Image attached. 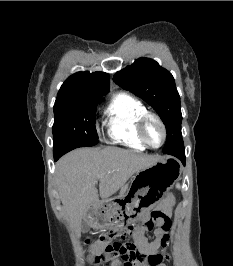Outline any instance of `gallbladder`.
<instances>
[{
  "label": "gallbladder",
  "instance_id": "bac80fb5",
  "mask_svg": "<svg viewBox=\"0 0 233 266\" xmlns=\"http://www.w3.org/2000/svg\"><path fill=\"white\" fill-rule=\"evenodd\" d=\"M86 222H87L86 220H83L81 224V230L83 233H86L89 231V226H88V223Z\"/></svg>",
  "mask_w": 233,
  "mask_h": 266
}]
</instances>
